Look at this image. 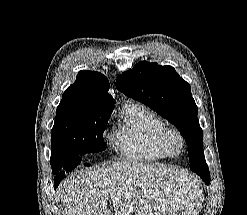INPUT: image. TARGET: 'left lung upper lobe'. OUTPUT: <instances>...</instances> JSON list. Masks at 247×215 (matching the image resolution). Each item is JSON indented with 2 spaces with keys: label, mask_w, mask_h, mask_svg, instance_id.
I'll return each instance as SVG.
<instances>
[{
  "label": "left lung upper lobe",
  "mask_w": 247,
  "mask_h": 215,
  "mask_svg": "<svg viewBox=\"0 0 247 215\" xmlns=\"http://www.w3.org/2000/svg\"><path fill=\"white\" fill-rule=\"evenodd\" d=\"M116 87L177 127L188 145L191 170L205 163L203 131L197 118L198 108L192 98L189 83L173 67L139 62L132 70L118 76Z\"/></svg>",
  "instance_id": "5c2ea615"
}]
</instances>
